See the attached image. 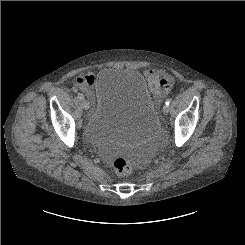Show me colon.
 <instances>
[{"instance_id":"obj_1","label":"colon","mask_w":245,"mask_h":245,"mask_svg":"<svg viewBox=\"0 0 245 245\" xmlns=\"http://www.w3.org/2000/svg\"><path fill=\"white\" fill-rule=\"evenodd\" d=\"M113 169L117 175H127L132 170V163L126 158H117L113 162Z\"/></svg>"}]
</instances>
